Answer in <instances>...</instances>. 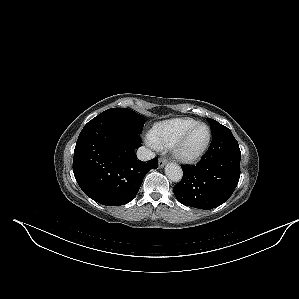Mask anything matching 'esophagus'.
Instances as JSON below:
<instances>
[{
  "label": "esophagus",
  "instance_id": "obj_1",
  "mask_svg": "<svg viewBox=\"0 0 299 299\" xmlns=\"http://www.w3.org/2000/svg\"><path fill=\"white\" fill-rule=\"evenodd\" d=\"M167 163V160L165 158L159 159V167H163Z\"/></svg>",
  "mask_w": 299,
  "mask_h": 299
}]
</instances>
